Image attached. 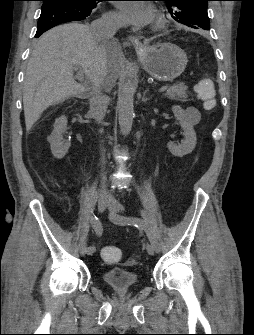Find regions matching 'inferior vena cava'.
<instances>
[{"instance_id": "1", "label": "inferior vena cava", "mask_w": 254, "mask_h": 335, "mask_svg": "<svg viewBox=\"0 0 254 335\" xmlns=\"http://www.w3.org/2000/svg\"><path fill=\"white\" fill-rule=\"evenodd\" d=\"M121 26L122 20L119 17L112 14H105L91 23L90 30L95 40L106 41L113 38ZM108 101V96L104 93L101 81L99 79H94L92 81L89 102L90 113L96 121L100 122L103 120L107 110Z\"/></svg>"}]
</instances>
